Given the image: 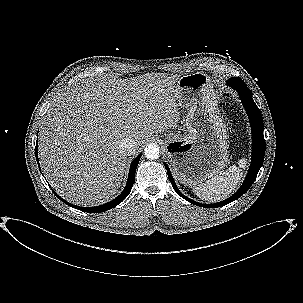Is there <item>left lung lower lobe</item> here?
I'll use <instances>...</instances> for the list:
<instances>
[{
  "label": "left lung lower lobe",
  "instance_id": "obj_1",
  "mask_svg": "<svg viewBox=\"0 0 303 303\" xmlns=\"http://www.w3.org/2000/svg\"><path fill=\"white\" fill-rule=\"evenodd\" d=\"M227 84L233 89L238 91L239 97L248 114L250 125H251V131H252L251 164L242 186L238 189V191L234 195H232L231 197H229L228 199L222 202H218L215 204H201L186 197L178 190L169 167L164 163L168 173V178L172 183V186L176 191V193L180 195L183 199L189 201L190 203L201 207L217 208L224 206L241 197L253 184L264 160V154H265V140L263 136L264 124L260 110L252 98L251 91L246 86V84L242 81V79H240L239 77L230 78L229 80H227Z\"/></svg>",
  "mask_w": 303,
  "mask_h": 303
}]
</instances>
